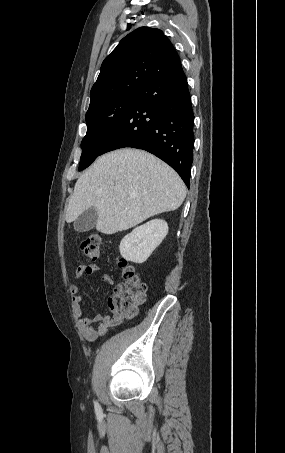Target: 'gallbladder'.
I'll use <instances>...</instances> for the list:
<instances>
[{
	"label": "gallbladder",
	"instance_id": "obj_1",
	"mask_svg": "<svg viewBox=\"0 0 285 453\" xmlns=\"http://www.w3.org/2000/svg\"><path fill=\"white\" fill-rule=\"evenodd\" d=\"M98 213L95 207L85 210L74 222V229L77 232H86L91 230L97 222Z\"/></svg>",
	"mask_w": 285,
	"mask_h": 453
}]
</instances>
